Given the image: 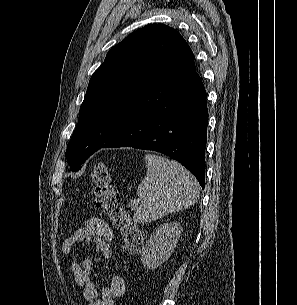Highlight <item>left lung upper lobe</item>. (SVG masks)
<instances>
[{
    "instance_id": "left-lung-upper-lobe-1",
    "label": "left lung upper lobe",
    "mask_w": 297,
    "mask_h": 305,
    "mask_svg": "<svg viewBox=\"0 0 297 305\" xmlns=\"http://www.w3.org/2000/svg\"><path fill=\"white\" fill-rule=\"evenodd\" d=\"M193 71L191 48L180 33L163 24L147 25L114 46L89 81L67 145L70 169H81L151 87Z\"/></svg>"
}]
</instances>
